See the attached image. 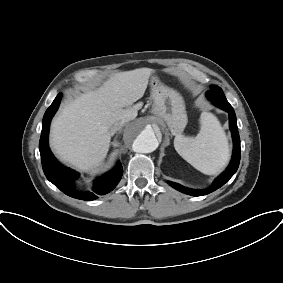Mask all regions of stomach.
I'll use <instances>...</instances> for the list:
<instances>
[{
	"mask_svg": "<svg viewBox=\"0 0 283 283\" xmlns=\"http://www.w3.org/2000/svg\"><path fill=\"white\" fill-rule=\"evenodd\" d=\"M152 113L161 118L173 134L181 133L187 125L185 103L182 96L163 85L156 77L152 79Z\"/></svg>",
	"mask_w": 283,
	"mask_h": 283,
	"instance_id": "stomach-1",
	"label": "stomach"
}]
</instances>
